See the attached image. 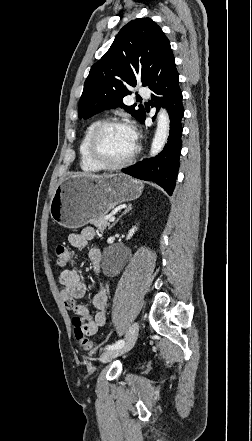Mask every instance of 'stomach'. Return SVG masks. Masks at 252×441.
I'll return each instance as SVG.
<instances>
[{"label":"stomach","mask_w":252,"mask_h":441,"mask_svg":"<svg viewBox=\"0 0 252 441\" xmlns=\"http://www.w3.org/2000/svg\"><path fill=\"white\" fill-rule=\"evenodd\" d=\"M143 183L124 174L75 175L55 189L51 218L66 228H79L103 218L116 205L141 195Z\"/></svg>","instance_id":"stomach-1"}]
</instances>
